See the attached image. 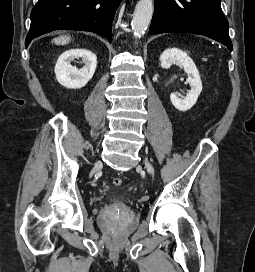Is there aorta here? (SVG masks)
<instances>
[{"mask_svg":"<svg viewBox=\"0 0 255 272\" xmlns=\"http://www.w3.org/2000/svg\"><path fill=\"white\" fill-rule=\"evenodd\" d=\"M153 15V1L139 0L135 7L131 26L135 38H141L147 30Z\"/></svg>","mask_w":255,"mask_h":272,"instance_id":"1","label":"aorta"}]
</instances>
